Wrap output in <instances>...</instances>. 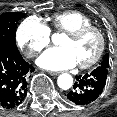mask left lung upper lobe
Masks as SVG:
<instances>
[{
    "label": "left lung upper lobe",
    "mask_w": 117,
    "mask_h": 117,
    "mask_svg": "<svg viewBox=\"0 0 117 117\" xmlns=\"http://www.w3.org/2000/svg\"><path fill=\"white\" fill-rule=\"evenodd\" d=\"M99 66H102V67H104V68H110V66H109V54H106L104 57H103V60H102V62L100 63V65Z\"/></svg>",
    "instance_id": "1"
}]
</instances>
